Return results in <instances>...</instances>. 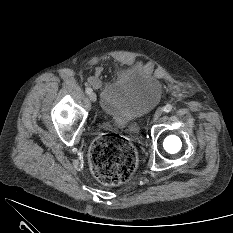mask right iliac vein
Listing matches in <instances>:
<instances>
[{
    "mask_svg": "<svg viewBox=\"0 0 233 233\" xmlns=\"http://www.w3.org/2000/svg\"><path fill=\"white\" fill-rule=\"evenodd\" d=\"M89 98H90V100H91L92 102H96V100H97V96H96L95 93H90V94H89Z\"/></svg>",
    "mask_w": 233,
    "mask_h": 233,
    "instance_id": "right-iliac-vein-1",
    "label": "right iliac vein"
}]
</instances>
